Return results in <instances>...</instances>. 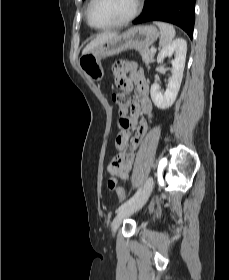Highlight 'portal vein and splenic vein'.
I'll list each match as a JSON object with an SVG mask.
<instances>
[{"label":"portal vein and splenic vein","mask_w":229,"mask_h":280,"mask_svg":"<svg viewBox=\"0 0 229 280\" xmlns=\"http://www.w3.org/2000/svg\"><path fill=\"white\" fill-rule=\"evenodd\" d=\"M150 51H151V53H155V52H156V49H155L154 47H152V48L150 49Z\"/></svg>","instance_id":"obj_1"}]
</instances>
